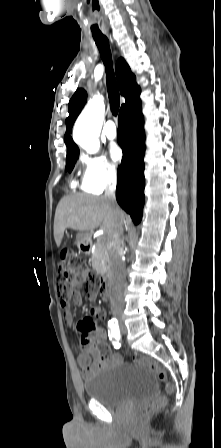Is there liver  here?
I'll return each mask as SVG.
<instances>
[{
    "mask_svg": "<svg viewBox=\"0 0 221 448\" xmlns=\"http://www.w3.org/2000/svg\"><path fill=\"white\" fill-rule=\"evenodd\" d=\"M126 214L114 207L105 197L69 195L63 197L56 208L54 239L61 245L67 228L88 232L100 227L108 240L119 223H125Z\"/></svg>",
    "mask_w": 221,
    "mask_h": 448,
    "instance_id": "6515ba94",
    "label": "liver"
}]
</instances>
